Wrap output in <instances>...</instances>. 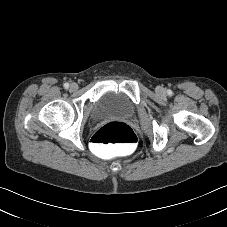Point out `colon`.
<instances>
[{"label":"colon","mask_w":227,"mask_h":227,"mask_svg":"<svg viewBox=\"0 0 227 227\" xmlns=\"http://www.w3.org/2000/svg\"><path fill=\"white\" fill-rule=\"evenodd\" d=\"M133 130L124 123L105 124L91 138L93 150L100 155L129 152L136 146Z\"/></svg>","instance_id":"1"}]
</instances>
